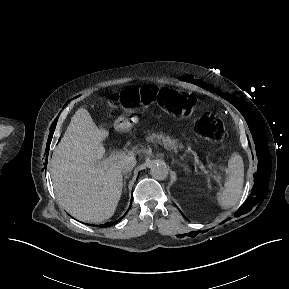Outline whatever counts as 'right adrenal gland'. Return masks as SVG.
I'll return each instance as SVG.
<instances>
[{
	"label": "right adrenal gland",
	"instance_id": "2a0ac1e0",
	"mask_svg": "<svg viewBox=\"0 0 289 289\" xmlns=\"http://www.w3.org/2000/svg\"><path fill=\"white\" fill-rule=\"evenodd\" d=\"M129 175H130V174H129ZM129 175L126 174V175L124 176V182H123L124 190H126V180H127V178H128Z\"/></svg>",
	"mask_w": 289,
	"mask_h": 289
}]
</instances>
